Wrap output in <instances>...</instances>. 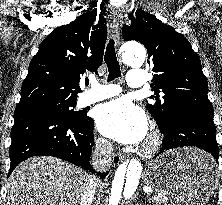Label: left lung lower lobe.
I'll list each match as a JSON object with an SVG mask.
<instances>
[{
    "mask_svg": "<svg viewBox=\"0 0 222 205\" xmlns=\"http://www.w3.org/2000/svg\"><path fill=\"white\" fill-rule=\"evenodd\" d=\"M213 116L214 112L201 109H186L176 114L172 124L160 129L164 138L158 154L177 147L194 146L210 153L213 156L210 161L218 163L219 149Z\"/></svg>",
    "mask_w": 222,
    "mask_h": 205,
    "instance_id": "left-lung-lower-lobe-1",
    "label": "left lung lower lobe"
}]
</instances>
